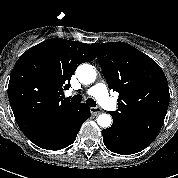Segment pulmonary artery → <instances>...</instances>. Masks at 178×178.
<instances>
[{
	"label": "pulmonary artery",
	"instance_id": "obj_1",
	"mask_svg": "<svg viewBox=\"0 0 178 178\" xmlns=\"http://www.w3.org/2000/svg\"><path fill=\"white\" fill-rule=\"evenodd\" d=\"M87 93L95 97L104 108L108 110H112L115 108V104L110 99L107 87L104 83L95 84L88 90Z\"/></svg>",
	"mask_w": 178,
	"mask_h": 178
}]
</instances>
